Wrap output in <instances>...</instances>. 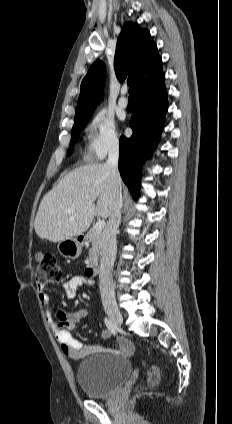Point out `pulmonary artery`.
<instances>
[{
	"mask_svg": "<svg viewBox=\"0 0 232 424\" xmlns=\"http://www.w3.org/2000/svg\"><path fill=\"white\" fill-rule=\"evenodd\" d=\"M125 94H126V91L125 90H122L121 96H120V98L118 100V104H119V106L121 108H127V106H128V100L125 97Z\"/></svg>",
	"mask_w": 232,
	"mask_h": 424,
	"instance_id": "1",
	"label": "pulmonary artery"
}]
</instances>
